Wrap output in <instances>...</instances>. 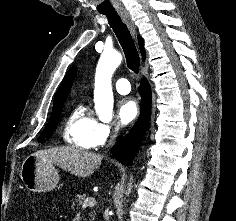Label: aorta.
I'll return each instance as SVG.
<instances>
[{"mask_svg":"<svg viewBox=\"0 0 236 221\" xmlns=\"http://www.w3.org/2000/svg\"><path fill=\"white\" fill-rule=\"evenodd\" d=\"M121 61L122 56L116 51L104 52L100 57L94 91L95 111L100 118H112L113 92L111 77Z\"/></svg>","mask_w":236,"mask_h":221,"instance_id":"obj_1","label":"aorta"}]
</instances>
